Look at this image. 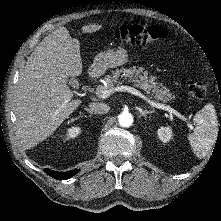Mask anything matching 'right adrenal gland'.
Listing matches in <instances>:
<instances>
[{
  "instance_id": "2a0ac1e0",
  "label": "right adrenal gland",
  "mask_w": 221,
  "mask_h": 221,
  "mask_svg": "<svg viewBox=\"0 0 221 221\" xmlns=\"http://www.w3.org/2000/svg\"><path fill=\"white\" fill-rule=\"evenodd\" d=\"M85 111H87L90 115H93V113L88 108H84Z\"/></svg>"
}]
</instances>
